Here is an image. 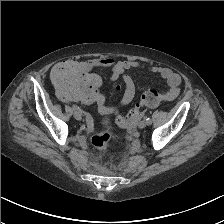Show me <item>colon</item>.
Segmentation results:
<instances>
[{"instance_id": "5ec220e1", "label": "colon", "mask_w": 224, "mask_h": 224, "mask_svg": "<svg viewBox=\"0 0 224 224\" xmlns=\"http://www.w3.org/2000/svg\"><path fill=\"white\" fill-rule=\"evenodd\" d=\"M51 79L60 97L66 102L91 103L98 97L99 77L78 62L63 61L56 64L52 69ZM161 99L162 96L156 91H147L126 117L116 113V123L120 127L130 128L135 124L142 108L155 106ZM91 142L97 149L106 150L111 146L112 138L109 132L101 131L92 137Z\"/></svg>"}]
</instances>
